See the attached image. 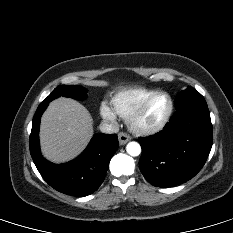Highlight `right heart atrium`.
Listing matches in <instances>:
<instances>
[{
	"label": "right heart atrium",
	"instance_id": "d8ad5b80",
	"mask_svg": "<svg viewBox=\"0 0 233 233\" xmlns=\"http://www.w3.org/2000/svg\"><path fill=\"white\" fill-rule=\"evenodd\" d=\"M101 116L110 122L116 121V114L113 112L112 108H110L107 104L103 103L100 107Z\"/></svg>",
	"mask_w": 233,
	"mask_h": 233
}]
</instances>
